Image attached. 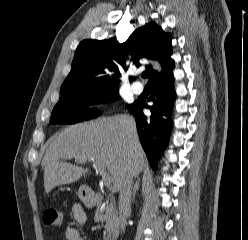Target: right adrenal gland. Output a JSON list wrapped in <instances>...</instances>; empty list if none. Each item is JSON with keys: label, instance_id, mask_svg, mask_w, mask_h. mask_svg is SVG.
<instances>
[{"label": "right adrenal gland", "instance_id": "right-adrenal-gland-1", "mask_svg": "<svg viewBox=\"0 0 248 240\" xmlns=\"http://www.w3.org/2000/svg\"><path fill=\"white\" fill-rule=\"evenodd\" d=\"M139 186H140V178L137 179L135 185H134V189H133V193H132V198L131 201L133 202L135 199V195L137 193V191L139 190Z\"/></svg>", "mask_w": 248, "mask_h": 240}]
</instances>
